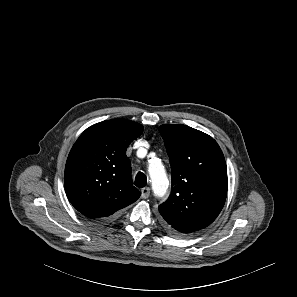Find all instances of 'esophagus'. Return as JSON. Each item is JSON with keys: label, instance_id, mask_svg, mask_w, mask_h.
Listing matches in <instances>:
<instances>
[{"label": "esophagus", "instance_id": "1", "mask_svg": "<svg viewBox=\"0 0 297 297\" xmlns=\"http://www.w3.org/2000/svg\"><path fill=\"white\" fill-rule=\"evenodd\" d=\"M150 196V188L149 187H144L141 189V197L143 199H146Z\"/></svg>", "mask_w": 297, "mask_h": 297}]
</instances>
